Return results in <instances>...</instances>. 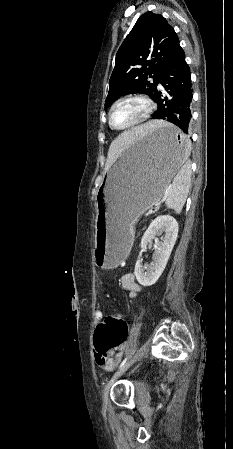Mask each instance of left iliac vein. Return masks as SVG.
Listing matches in <instances>:
<instances>
[{
    "instance_id": "1",
    "label": "left iliac vein",
    "mask_w": 233,
    "mask_h": 449,
    "mask_svg": "<svg viewBox=\"0 0 233 449\" xmlns=\"http://www.w3.org/2000/svg\"><path fill=\"white\" fill-rule=\"evenodd\" d=\"M133 362H134V359H131L128 362H126L106 384L104 391H103V396H102L103 397V405L105 408H107V406H108L109 392H110L111 386L125 371H127L130 368V366L133 364Z\"/></svg>"
}]
</instances>
